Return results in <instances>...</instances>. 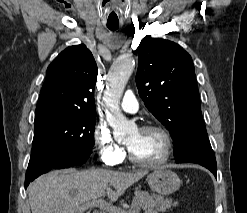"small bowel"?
Masks as SVG:
<instances>
[{
	"mask_svg": "<svg viewBox=\"0 0 247 213\" xmlns=\"http://www.w3.org/2000/svg\"><path fill=\"white\" fill-rule=\"evenodd\" d=\"M145 213H157L155 209H148Z\"/></svg>",
	"mask_w": 247,
	"mask_h": 213,
	"instance_id": "small-bowel-1",
	"label": "small bowel"
}]
</instances>
